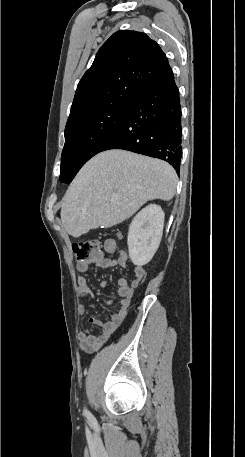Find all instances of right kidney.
<instances>
[{
	"mask_svg": "<svg viewBox=\"0 0 245 457\" xmlns=\"http://www.w3.org/2000/svg\"><path fill=\"white\" fill-rule=\"evenodd\" d=\"M164 218L158 204H148L134 216L127 239L131 261L136 255H155L163 235Z\"/></svg>",
	"mask_w": 245,
	"mask_h": 457,
	"instance_id": "ca27d5eb",
	"label": "right kidney"
}]
</instances>
